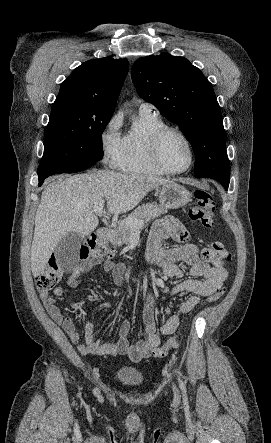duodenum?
Returning <instances> with one entry per match:
<instances>
[{
    "mask_svg": "<svg viewBox=\"0 0 271 443\" xmlns=\"http://www.w3.org/2000/svg\"><path fill=\"white\" fill-rule=\"evenodd\" d=\"M97 236L100 240L109 241L113 238V232L106 228H101L97 231Z\"/></svg>",
    "mask_w": 271,
    "mask_h": 443,
    "instance_id": "obj_1",
    "label": "duodenum"
}]
</instances>
